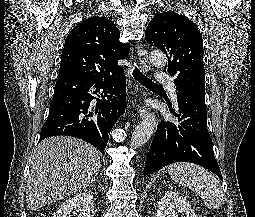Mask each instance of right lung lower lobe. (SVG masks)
Returning <instances> with one entry per match:
<instances>
[{
	"instance_id": "right-lung-lower-lobe-1",
	"label": "right lung lower lobe",
	"mask_w": 255,
	"mask_h": 217,
	"mask_svg": "<svg viewBox=\"0 0 255 217\" xmlns=\"http://www.w3.org/2000/svg\"><path fill=\"white\" fill-rule=\"evenodd\" d=\"M125 84L124 73L103 79L57 80L40 141L56 135L73 136L104 154L110 131L125 110ZM93 99L95 108L90 104Z\"/></svg>"
}]
</instances>
